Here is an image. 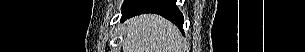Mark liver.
Segmentation results:
<instances>
[{
	"instance_id": "obj_1",
	"label": "liver",
	"mask_w": 305,
	"mask_h": 52,
	"mask_svg": "<svg viewBox=\"0 0 305 52\" xmlns=\"http://www.w3.org/2000/svg\"><path fill=\"white\" fill-rule=\"evenodd\" d=\"M123 52H182L180 32L170 21L144 14L125 23Z\"/></svg>"
}]
</instances>
